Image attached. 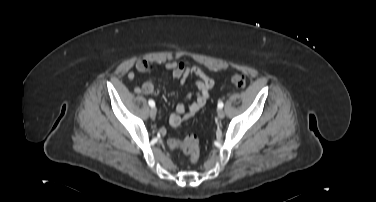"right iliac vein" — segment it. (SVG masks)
Returning a JSON list of instances; mask_svg holds the SVG:
<instances>
[{"instance_id": "1", "label": "right iliac vein", "mask_w": 376, "mask_h": 202, "mask_svg": "<svg viewBox=\"0 0 376 202\" xmlns=\"http://www.w3.org/2000/svg\"><path fill=\"white\" fill-rule=\"evenodd\" d=\"M149 115L152 119H154L156 117V109L154 107H152L149 111Z\"/></svg>"}]
</instances>
